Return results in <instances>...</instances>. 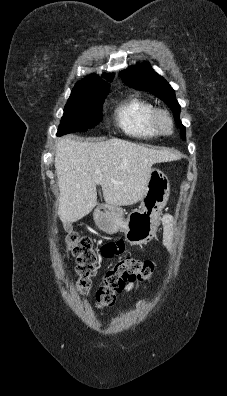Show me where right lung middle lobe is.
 Returning <instances> with one entry per match:
<instances>
[{"mask_svg":"<svg viewBox=\"0 0 227 396\" xmlns=\"http://www.w3.org/2000/svg\"><path fill=\"white\" fill-rule=\"evenodd\" d=\"M109 90L90 87H74L64 108L57 135L82 132L102 120L101 108Z\"/></svg>","mask_w":227,"mask_h":396,"instance_id":"dd1d6c3e","label":"right lung middle lobe"}]
</instances>
